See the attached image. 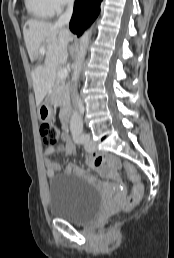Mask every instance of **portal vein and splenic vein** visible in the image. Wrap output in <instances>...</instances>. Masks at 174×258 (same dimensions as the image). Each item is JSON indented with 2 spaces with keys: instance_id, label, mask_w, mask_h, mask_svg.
<instances>
[{
  "instance_id": "obj_1",
  "label": "portal vein and splenic vein",
  "mask_w": 174,
  "mask_h": 258,
  "mask_svg": "<svg viewBox=\"0 0 174 258\" xmlns=\"http://www.w3.org/2000/svg\"><path fill=\"white\" fill-rule=\"evenodd\" d=\"M40 53H41V54H44V53H45V45L40 48ZM67 75H68V72H67L66 69H60V70L58 71V76H59L61 79L66 78Z\"/></svg>"
}]
</instances>
